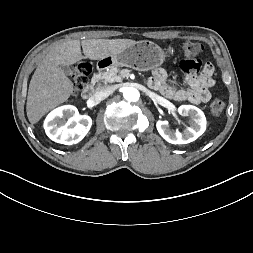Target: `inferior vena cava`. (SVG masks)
I'll return each mask as SVG.
<instances>
[{"label": "inferior vena cava", "mask_w": 253, "mask_h": 253, "mask_svg": "<svg viewBox=\"0 0 253 253\" xmlns=\"http://www.w3.org/2000/svg\"><path fill=\"white\" fill-rule=\"evenodd\" d=\"M114 91V88L112 86H102L97 88L95 92V97L99 100L105 99L110 94H112Z\"/></svg>", "instance_id": "obj_1"}]
</instances>
